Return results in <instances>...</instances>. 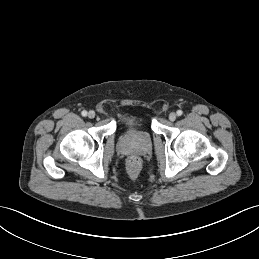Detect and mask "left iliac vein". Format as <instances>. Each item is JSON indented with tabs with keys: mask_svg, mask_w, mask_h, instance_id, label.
I'll use <instances>...</instances> for the list:
<instances>
[{
	"mask_svg": "<svg viewBox=\"0 0 259 259\" xmlns=\"http://www.w3.org/2000/svg\"><path fill=\"white\" fill-rule=\"evenodd\" d=\"M176 117H177V115H176V113H174V112H172V113L169 114V120H170V121H175Z\"/></svg>",
	"mask_w": 259,
	"mask_h": 259,
	"instance_id": "1",
	"label": "left iliac vein"
}]
</instances>
